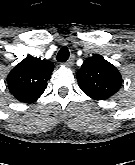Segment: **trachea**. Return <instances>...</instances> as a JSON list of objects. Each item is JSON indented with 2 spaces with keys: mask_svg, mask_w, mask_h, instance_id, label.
Returning <instances> with one entry per match:
<instances>
[{
  "mask_svg": "<svg viewBox=\"0 0 135 165\" xmlns=\"http://www.w3.org/2000/svg\"><path fill=\"white\" fill-rule=\"evenodd\" d=\"M69 58V50L66 46H63L57 54V60L59 62H66Z\"/></svg>",
  "mask_w": 135,
  "mask_h": 165,
  "instance_id": "3493384b",
  "label": "trachea"
}]
</instances>
